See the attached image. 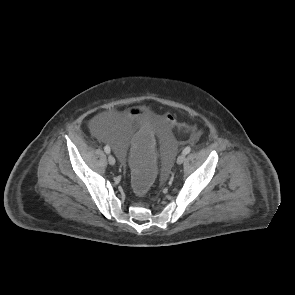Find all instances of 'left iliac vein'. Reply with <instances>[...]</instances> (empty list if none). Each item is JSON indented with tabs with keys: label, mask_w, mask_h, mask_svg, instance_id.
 <instances>
[{
	"label": "left iliac vein",
	"mask_w": 295,
	"mask_h": 295,
	"mask_svg": "<svg viewBox=\"0 0 295 295\" xmlns=\"http://www.w3.org/2000/svg\"><path fill=\"white\" fill-rule=\"evenodd\" d=\"M185 158H186L185 154L179 155L178 158H177V163L182 164L185 161Z\"/></svg>",
	"instance_id": "4c4485c4"
}]
</instances>
